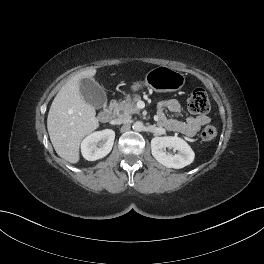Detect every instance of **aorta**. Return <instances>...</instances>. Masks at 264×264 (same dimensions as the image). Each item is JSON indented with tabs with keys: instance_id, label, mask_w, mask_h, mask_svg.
Wrapping results in <instances>:
<instances>
[{
	"instance_id": "aorta-1",
	"label": "aorta",
	"mask_w": 264,
	"mask_h": 264,
	"mask_svg": "<svg viewBox=\"0 0 264 264\" xmlns=\"http://www.w3.org/2000/svg\"><path fill=\"white\" fill-rule=\"evenodd\" d=\"M144 129V124L141 121H136L133 124V130L142 131Z\"/></svg>"
}]
</instances>
